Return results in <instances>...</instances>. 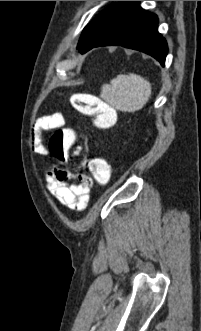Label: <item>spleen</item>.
Wrapping results in <instances>:
<instances>
[{
	"label": "spleen",
	"instance_id": "spleen-1",
	"mask_svg": "<svg viewBox=\"0 0 201 331\" xmlns=\"http://www.w3.org/2000/svg\"><path fill=\"white\" fill-rule=\"evenodd\" d=\"M151 89L150 82L143 77L133 73L122 74L102 86L101 96L117 110L135 112L148 102Z\"/></svg>",
	"mask_w": 201,
	"mask_h": 331
}]
</instances>
